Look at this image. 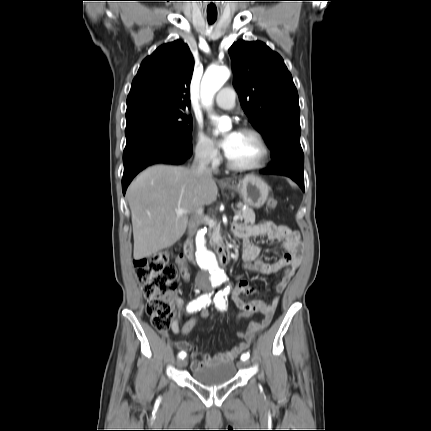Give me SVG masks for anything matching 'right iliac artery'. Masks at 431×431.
Instances as JSON below:
<instances>
[{
  "label": "right iliac artery",
  "instance_id": "obj_1",
  "mask_svg": "<svg viewBox=\"0 0 431 431\" xmlns=\"http://www.w3.org/2000/svg\"><path fill=\"white\" fill-rule=\"evenodd\" d=\"M209 303H210V294L201 295L198 299L193 300L188 304L187 311L194 312V311L200 310L202 307H205ZM178 356L184 359L186 357V353L180 352Z\"/></svg>",
  "mask_w": 431,
  "mask_h": 431
}]
</instances>
